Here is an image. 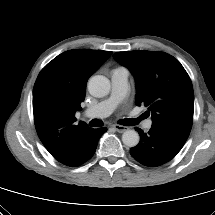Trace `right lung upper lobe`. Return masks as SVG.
<instances>
[{"label": "right lung upper lobe", "instance_id": "obj_1", "mask_svg": "<svg viewBox=\"0 0 215 215\" xmlns=\"http://www.w3.org/2000/svg\"><path fill=\"white\" fill-rule=\"evenodd\" d=\"M111 54L90 49L65 51L37 77L33 89L36 130L50 154L65 165L76 157L81 140L92 130L83 121L75 124L87 81Z\"/></svg>", "mask_w": 215, "mask_h": 215}]
</instances>
